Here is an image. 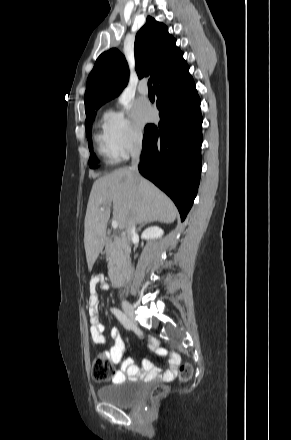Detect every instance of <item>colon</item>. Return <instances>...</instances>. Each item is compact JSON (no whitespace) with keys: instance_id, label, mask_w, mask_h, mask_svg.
<instances>
[{"instance_id":"obj_1","label":"colon","mask_w":291,"mask_h":440,"mask_svg":"<svg viewBox=\"0 0 291 440\" xmlns=\"http://www.w3.org/2000/svg\"><path fill=\"white\" fill-rule=\"evenodd\" d=\"M192 370L191 363H184L180 368V378L184 381L188 380L192 375ZM112 375L113 373L107 359L104 356L96 358L92 364V376L94 380L107 381L112 377ZM167 391L168 388L166 385H156L151 392V402L163 397Z\"/></svg>"}]
</instances>
